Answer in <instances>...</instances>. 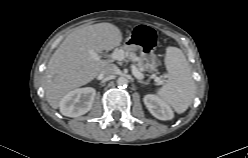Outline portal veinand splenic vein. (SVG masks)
Here are the masks:
<instances>
[{
	"label": "portal vein and splenic vein",
	"mask_w": 248,
	"mask_h": 158,
	"mask_svg": "<svg viewBox=\"0 0 248 158\" xmlns=\"http://www.w3.org/2000/svg\"><path fill=\"white\" fill-rule=\"evenodd\" d=\"M90 55L93 59L95 60H99L100 57L98 56V54H96L93 51H90ZM126 53L124 52V50L119 49V50H115L111 55L110 58L113 60H118V61H122L125 59ZM131 70H132V74L137 78V79H142L143 78V74L137 69V67L135 65H131ZM155 82L158 84L162 83L161 78L159 77H155Z\"/></svg>",
	"instance_id": "1"
}]
</instances>
